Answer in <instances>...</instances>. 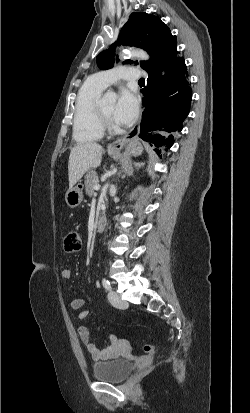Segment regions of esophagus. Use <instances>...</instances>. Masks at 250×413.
<instances>
[{
    "label": "esophagus",
    "mask_w": 250,
    "mask_h": 413,
    "mask_svg": "<svg viewBox=\"0 0 250 413\" xmlns=\"http://www.w3.org/2000/svg\"><path fill=\"white\" fill-rule=\"evenodd\" d=\"M139 131L140 124L138 122L124 137L116 139L112 143H110L107 148L108 151L114 153L120 152L126 143L138 136Z\"/></svg>",
    "instance_id": "1"
}]
</instances>
